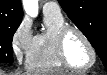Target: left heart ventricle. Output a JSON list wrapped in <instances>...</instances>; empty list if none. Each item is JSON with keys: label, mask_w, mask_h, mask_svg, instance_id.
<instances>
[{"label": "left heart ventricle", "mask_w": 107, "mask_h": 75, "mask_svg": "<svg viewBox=\"0 0 107 75\" xmlns=\"http://www.w3.org/2000/svg\"><path fill=\"white\" fill-rule=\"evenodd\" d=\"M65 52L69 62L75 66L82 67L91 61L89 48L77 33L68 34L65 41Z\"/></svg>", "instance_id": "1"}]
</instances>
